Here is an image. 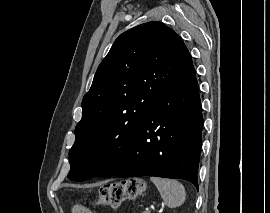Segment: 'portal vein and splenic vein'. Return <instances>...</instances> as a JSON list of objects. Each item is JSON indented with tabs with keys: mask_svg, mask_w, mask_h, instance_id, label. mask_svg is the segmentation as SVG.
<instances>
[{
	"mask_svg": "<svg viewBox=\"0 0 270 213\" xmlns=\"http://www.w3.org/2000/svg\"><path fill=\"white\" fill-rule=\"evenodd\" d=\"M143 213H150V210L146 208V210Z\"/></svg>",
	"mask_w": 270,
	"mask_h": 213,
	"instance_id": "portal-vein-and-splenic-vein-1",
	"label": "portal vein and splenic vein"
}]
</instances>
